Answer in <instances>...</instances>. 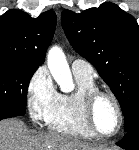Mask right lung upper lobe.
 Listing matches in <instances>:
<instances>
[{"label":"right lung upper lobe","instance_id":"obj_1","mask_svg":"<svg viewBox=\"0 0 139 150\" xmlns=\"http://www.w3.org/2000/svg\"><path fill=\"white\" fill-rule=\"evenodd\" d=\"M56 27V14L46 11L37 18L8 10L0 17V61L39 67L44 62Z\"/></svg>","mask_w":139,"mask_h":150}]
</instances>
